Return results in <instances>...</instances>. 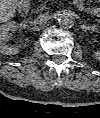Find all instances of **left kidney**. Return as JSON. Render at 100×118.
Masks as SVG:
<instances>
[{"mask_svg": "<svg viewBox=\"0 0 100 118\" xmlns=\"http://www.w3.org/2000/svg\"><path fill=\"white\" fill-rule=\"evenodd\" d=\"M93 57L98 59L100 57V52H98V51L93 52Z\"/></svg>", "mask_w": 100, "mask_h": 118, "instance_id": "5707ae66", "label": "left kidney"}]
</instances>
